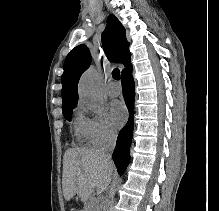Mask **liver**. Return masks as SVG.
I'll list each match as a JSON object with an SVG mask.
<instances>
[{
	"instance_id": "liver-1",
	"label": "liver",
	"mask_w": 219,
	"mask_h": 211,
	"mask_svg": "<svg viewBox=\"0 0 219 211\" xmlns=\"http://www.w3.org/2000/svg\"><path fill=\"white\" fill-rule=\"evenodd\" d=\"M113 173L114 165L111 159H106L97 149H67L64 153L62 177L65 199L69 201L74 195H79L81 201L86 203L94 189H107Z\"/></svg>"
}]
</instances>
